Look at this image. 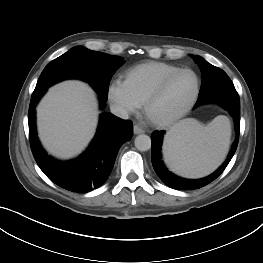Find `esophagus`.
Instances as JSON below:
<instances>
[{
	"label": "esophagus",
	"mask_w": 263,
	"mask_h": 263,
	"mask_svg": "<svg viewBox=\"0 0 263 263\" xmlns=\"http://www.w3.org/2000/svg\"><path fill=\"white\" fill-rule=\"evenodd\" d=\"M133 130H134V134L136 135L145 132L144 129L141 128L139 125H134Z\"/></svg>",
	"instance_id": "1"
}]
</instances>
